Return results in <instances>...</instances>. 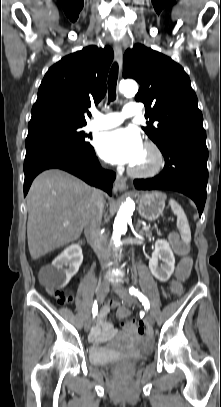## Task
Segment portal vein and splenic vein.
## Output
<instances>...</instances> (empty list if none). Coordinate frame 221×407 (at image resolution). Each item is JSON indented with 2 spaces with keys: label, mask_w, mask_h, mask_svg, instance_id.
I'll return each mask as SVG.
<instances>
[{
  "label": "portal vein and splenic vein",
  "mask_w": 221,
  "mask_h": 407,
  "mask_svg": "<svg viewBox=\"0 0 221 407\" xmlns=\"http://www.w3.org/2000/svg\"><path fill=\"white\" fill-rule=\"evenodd\" d=\"M68 224H69V223L66 222V223H64V226H68ZM147 229H149V226L144 225V226H143V230H147Z\"/></svg>",
  "instance_id": "1"
}]
</instances>
